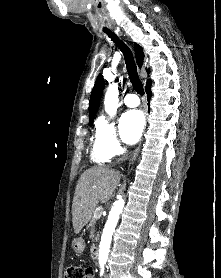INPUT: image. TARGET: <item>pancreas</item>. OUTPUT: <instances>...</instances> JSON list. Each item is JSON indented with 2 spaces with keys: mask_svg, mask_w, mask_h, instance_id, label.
Returning a JSON list of instances; mask_svg holds the SVG:
<instances>
[{
  "mask_svg": "<svg viewBox=\"0 0 221 278\" xmlns=\"http://www.w3.org/2000/svg\"><path fill=\"white\" fill-rule=\"evenodd\" d=\"M98 219H99V212L96 210L91 220V224H90L91 227H96L97 223L99 222ZM98 225L101 227L103 224L100 222Z\"/></svg>",
  "mask_w": 221,
  "mask_h": 278,
  "instance_id": "cf45deb5",
  "label": "pancreas"
}]
</instances>
